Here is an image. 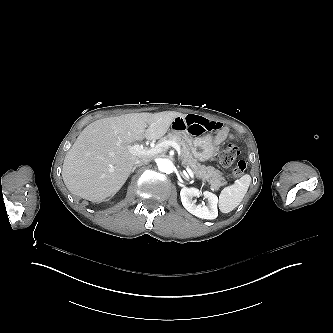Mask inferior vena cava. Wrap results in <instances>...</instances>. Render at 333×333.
Returning a JSON list of instances; mask_svg holds the SVG:
<instances>
[{
    "mask_svg": "<svg viewBox=\"0 0 333 333\" xmlns=\"http://www.w3.org/2000/svg\"><path fill=\"white\" fill-rule=\"evenodd\" d=\"M150 160H151V159H150L149 157H148V158H145V159H143V160H137V161L135 162V166L140 167V166H142L143 164L148 163Z\"/></svg>",
    "mask_w": 333,
    "mask_h": 333,
    "instance_id": "obj_1",
    "label": "inferior vena cava"
}]
</instances>
